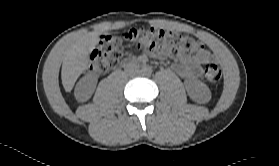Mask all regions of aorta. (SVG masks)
Returning a JSON list of instances; mask_svg holds the SVG:
<instances>
[{"label":"aorta","mask_w":279,"mask_h":166,"mask_svg":"<svg viewBox=\"0 0 279 166\" xmlns=\"http://www.w3.org/2000/svg\"><path fill=\"white\" fill-rule=\"evenodd\" d=\"M152 73V68L150 66H143L141 69V74L144 76H149Z\"/></svg>","instance_id":"obj_1"}]
</instances>
